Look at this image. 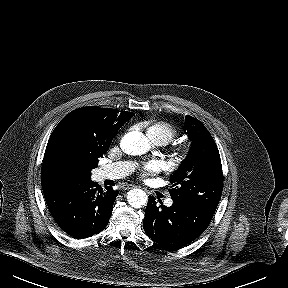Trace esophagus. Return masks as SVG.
<instances>
[{"label": "esophagus", "mask_w": 288, "mask_h": 288, "mask_svg": "<svg viewBox=\"0 0 288 288\" xmlns=\"http://www.w3.org/2000/svg\"><path fill=\"white\" fill-rule=\"evenodd\" d=\"M132 187H134V186H128L126 189H131Z\"/></svg>", "instance_id": "1"}]
</instances>
